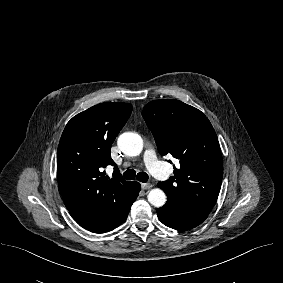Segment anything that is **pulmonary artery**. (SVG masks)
Returning a JSON list of instances; mask_svg holds the SVG:
<instances>
[{"label": "pulmonary artery", "instance_id": "pulmonary-artery-1", "mask_svg": "<svg viewBox=\"0 0 283 283\" xmlns=\"http://www.w3.org/2000/svg\"><path fill=\"white\" fill-rule=\"evenodd\" d=\"M144 161L146 163V166L150 169L155 177L161 180L167 177L166 167L159 163L156 158V153L153 149H147L144 152Z\"/></svg>", "mask_w": 283, "mask_h": 283}]
</instances>
